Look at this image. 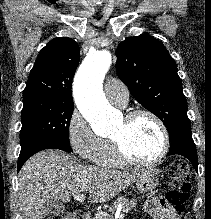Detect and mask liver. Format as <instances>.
<instances>
[{"mask_svg": "<svg viewBox=\"0 0 211 219\" xmlns=\"http://www.w3.org/2000/svg\"><path fill=\"white\" fill-rule=\"evenodd\" d=\"M142 170H110L77 163L62 151L45 150L32 156L18 175V198L23 219H43L50 198L69 202L70 197L89 192V201L104 203L135 183Z\"/></svg>", "mask_w": 211, "mask_h": 219, "instance_id": "6515ba94", "label": "liver"}]
</instances>
